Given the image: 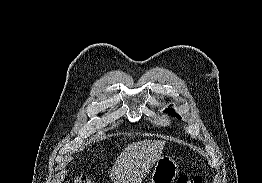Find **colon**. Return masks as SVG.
Instances as JSON below:
<instances>
[{
  "mask_svg": "<svg viewBox=\"0 0 262 183\" xmlns=\"http://www.w3.org/2000/svg\"><path fill=\"white\" fill-rule=\"evenodd\" d=\"M74 183H94L92 179L86 176H77ZM178 183H203V179L199 175H182L178 179Z\"/></svg>",
  "mask_w": 262,
  "mask_h": 183,
  "instance_id": "1",
  "label": "colon"
}]
</instances>
